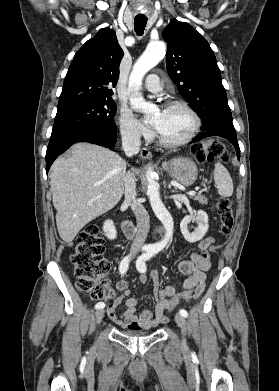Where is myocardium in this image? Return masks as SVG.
<instances>
[{
	"label": "myocardium",
	"mask_w": 279,
	"mask_h": 391,
	"mask_svg": "<svg viewBox=\"0 0 279 391\" xmlns=\"http://www.w3.org/2000/svg\"><path fill=\"white\" fill-rule=\"evenodd\" d=\"M173 107H181V108L185 109L191 115V117L193 119V126H192L190 132L183 139L177 140V141H170V140L165 139L159 133V131L157 129H155V134H156V137H157L159 143L165 147H168V148L180 147V146H183V145L187 144L188 142H190L193 139V137L195 136V134L197 133V131L199 130L200 124H201V120H200L199 115L187 102H185L183 100H171L165 104L164 109L173 108Z\"/></svg>",
	"instance_id": "myocardium-1"
}]
</instances>
